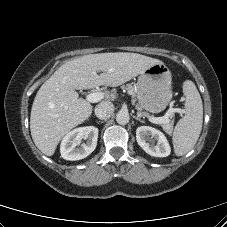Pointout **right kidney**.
Listing matches in <instances>:
<instances>
[{
	"mask_svg": "<svg viewBox=\"0 0 227 227\" xmlns=\"http://www.w3.org/2000/svg\"><path fill=\"white\" fill-rule=\"evenodd\" d=\"M98 132V128L94 126L79 127L70 131L61 142V156L70 161L86 158L96 148ZM81 139H85L86 142L80 145Z\"/></svg>",
	"mask_w": 227,
	"mask_h": 227,
	"instance_id": "1",
	"label": "right kidney"
}]
</instances>
